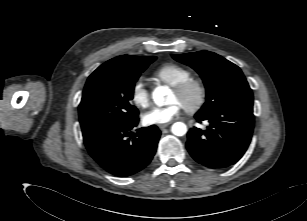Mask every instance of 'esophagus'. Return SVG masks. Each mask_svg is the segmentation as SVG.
Masks as SVG:
<instances>
[{
  "label": "esophagus",
  "mask_w": 307,
  "mask_h": 221,
  "mask_svg": "<svg viewBox=\"0 0 307 221\" xmlns=\"http://www.w3.org/2000/svg\"><path fill=\"white\" fill-rule=\"evenodd\" d=\"M170 125V123H166V124H162V125H158V127L163 130L164 128L168 127Z\"/></svg>",
  "instance_id": "esophagus-1"
}]
</instances>
